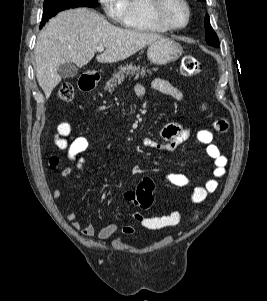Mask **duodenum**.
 <instances>
[{"label":"duodenum","instance_id":"410a0bca","mask_svg":"<svg viewBox=\"0 0 267 301\" xmlns=\"http://www.w3.org/2000/svg\"><path fill=\"white\" fill-rule=\"evenodd\" d=\"M98 76L94 74H84L80 79V88L82 90H93L98 83Z\"/></svg>","mask_w":267,"mask_h":301}]
</instances>
